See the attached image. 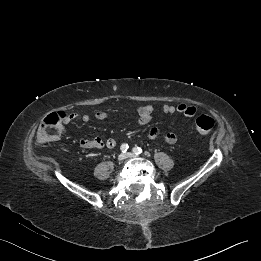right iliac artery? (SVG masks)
I'll return each instance as SVG.
<instances>
[{
  "label": "right iliac artery",
  "instance_id": "obj_1",
  "mask_svg": "<svg viewBox=\"0 0 261 261\" xmlns=\"http://www.w3.org/2000/svg\"><path fill=\"white\" fill-rule=\"evenodd\" d=\"M128 148H129L128 144H125V143L122 144L120 147V149L123 153H125L128 150Z\"/></svg>",
  "mask_w": 261,
  "mask_h": 261
}]
</instances>
